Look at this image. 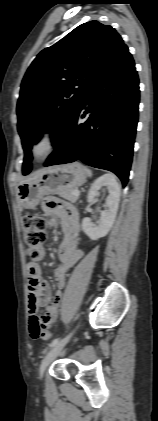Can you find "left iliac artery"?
<instances>
[{"label":"left iliac artery","instance_id":"obj_1","mask_svg":"<svg viewBox=\"0 0 158 421\" xmlns=\"http://www.w3.org/2000/svg\"><path fill=\"white\" fill-rule=\"evenodd\" d=\"M79 314L75 317L77 319ZM59 342V338H55L49 345L50 348L54 347Z\"/></svg>","mask_w":158,"mask_h":421}]
</instances>
